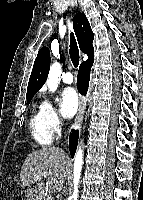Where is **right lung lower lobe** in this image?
I'll use <instances>...</instances> for the list:
<instances>
[{
  "instance_id": "98d812e1",
  "label": "right lung lower lobe",
  "mask_w": 143,
  "mask_h": 200,
  "mask_svg": "<svg viewBox=\"0 0 143 200\" xmlns=\"http://www.w3.org/2000/svg\"><path fill=\"white\" fill-rule=\"evenodd\" d=\"M93 56L89 57L87 61L83 62L78 71V81H77V87L78 90L81 94L85 95L88 86H89V79H90V67L93 64ZM79 131H74L72 130V133L70 134V154L71 157L74 156L76 148H77V143H78V135Z\"/></svg>"
}]
</instances>
